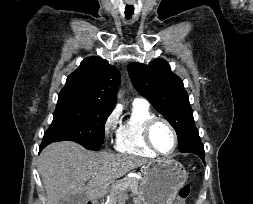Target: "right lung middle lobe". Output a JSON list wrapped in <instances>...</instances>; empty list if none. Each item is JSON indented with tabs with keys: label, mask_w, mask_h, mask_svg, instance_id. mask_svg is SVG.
<instances>
[{
	"label": "right lung middle lobe",
	"mask_w": 253,
	"mask_h": 204,
	"mask_svg": "<svg viewBox=\"0 0 253 204\" xmlns=\"http://www.w3.org/2000/svg\"><path fill=\"white\" fill-rule=\"evenodd\" d=\"M112 109L60 92L53 121L45 132L43 141L70 140L89 150H99L104 139V125Z\"/></svg>",
	"instance_id": "obj_1"
}]
</instances>
